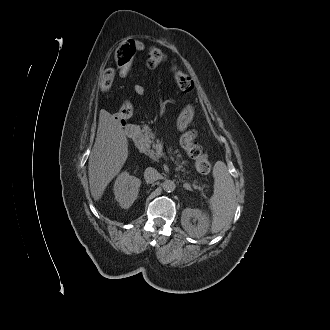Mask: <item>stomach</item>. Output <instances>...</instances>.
Wrapping results in <instances>:
<instances>
[{
    "instance_id": "0dacf381",
    "label": "stomach",
    "mask_w": 330,
    "mask_h": 330,
    "mask_svg": "<svg viewBox=\"0 0 330 330\" xmlns=\"http://www.w3.org/2000/svg\"><path fill=\"white\" fill-rule=\"evenodd\" d=\"M194 115V108L189 105L181 112L177 120V127L179 131L183 132L187 129L189 123L192 121Z\"/></svg>"
}]
</instances>
